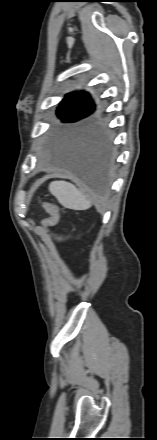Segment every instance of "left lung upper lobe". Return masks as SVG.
<instances>
[{
  "label": "left lung upper lobe",
  "mask_w": 157,
  "mask_h": 440,
  "mask_svg": "<svg viewBox=\"0 0 157 440\" xmlns=\"http://www.w3.org/2000/svg\"><path fill=\"white\" fill-rule=\"evenodd\" d=\"M95 105L86 92L67 94L57 109V115L63 122H77L88 117L94 111ZM105 130L97 118L81 121L75 129L74 137L80 138Z\"/></svg>",
  "instance_id": "left-lung-upper-lobe-1"
}]
</instances>
